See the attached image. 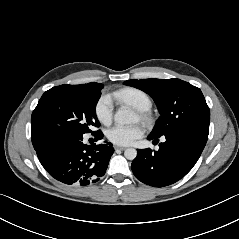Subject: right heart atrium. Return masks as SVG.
<instances>
[{"mask_svg":"<svg viewBox=\"0 0 239 239\" xmlns=\"http://www.w3.org/2000/svg\"><path fill=\"white\" fill-rule=\"evenodd\" d=\"M95 114L103 124H109L113 117V103L109 96L103 95L95 106Z\"/></svg>","mask_w":239,"mask_h":239,"instance_id":"obj_1","label":"right heart atrium"}]
</instances>
